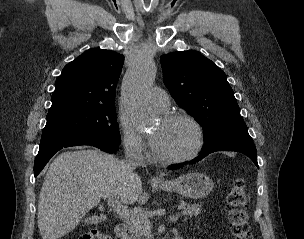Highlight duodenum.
I'll use <instances>...</instances> for the list:
<instances>
[{"mask_svg": "<svg viewBox=\"0 0 304 239\" xmlns=\"http://www.w3.org/2000/svg\"><path fill=\"white\" fill-rule=\"evenodd\" d=\"M128 238V225L126 223H119L115 227V239H127ZM173 239H183L180 236L174 237Z\"/></svg>", "mask_w": 304, "mask_h": 239, "instance_id": "obj_1", "label": "duodenum"}]
</instances>
